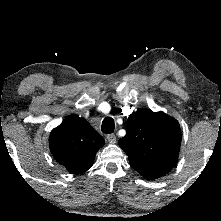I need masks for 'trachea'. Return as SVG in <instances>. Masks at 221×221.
Masks as SVG:
<instances>
[{
	"label": "trachea",
	"instance_id": "3493384b",
	"mask_svg": "<svg viewBox=\"0 0 221 221\" xmlns=\"http://www.w3.org/2000/svg\"><path fill=\"white\" fill-rule=\"evenodd\" d=\"M115 128L114 120L111 117H106L101 126V130L105 134H111L113 133Z\"/></svg>",
	"mask_w": 221,
	"mask_h": 221
}]
</instances>
